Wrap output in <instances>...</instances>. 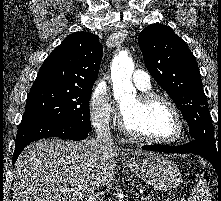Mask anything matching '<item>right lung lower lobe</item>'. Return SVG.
Listing matches in <instances>:
<instances>
[{"label":"right lung lower lobe","mask_w":221,"mask_h":201,"mask_svg":"<svg viewBox=\"0 0 221 201\" xmlns=\"http://www.w3.org/2000/svg\"><path fill=\"white\" fill-rule=\"evenodd\" d=\"M91 130V128H85L72 122L59 120L37 119L21 122L15 140L13 164L23 148L35 140L48 137L83 140L87 138L88 132Z\"/></svg>","instance_id":"obj_1"}]
</instances>
